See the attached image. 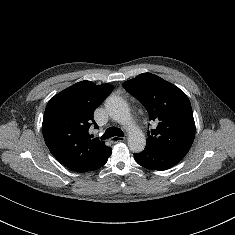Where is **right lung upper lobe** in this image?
I'll return each mask as SVG.
<instances>
[{"mask_svg": "<svg viewBox=\"0 0 235 235\" xmlns=\"http://www.w3.org/2000/svg\"><path fill=\"white\" fill-rule=\"evenodd\" d=\"M110 84L78 82L52 97L45 109L42 131L53 156L76 172H85L109 147L90 139L94 110L113 91Z\"/></svg>", "mask_w": 235, "mask_h": 235, "instance_id": "1", "label": "right lung upper lobe"}]
</instances>
